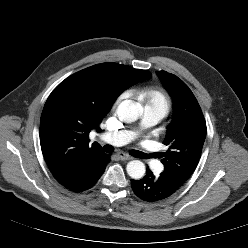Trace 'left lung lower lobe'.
<instances>
[{
    "label": "left lung lower lobe",
    "instance_id": "obj_1",
    "mask_svg": "<svg viewBox=\"0 0 248 248\" xmlns=\"http://www.w3.org/2000/svg\"><path fill=\"white\" fill-rule=\"evenodd\" d=\"M146 173L143 179L131 180L132 189L140 199L147 202H156L164 200L176 192L161 175L155 177L149 169Z\"/></svg>",
    "mask_w": 248,
    "mask_h": 248
}]
</instances>
